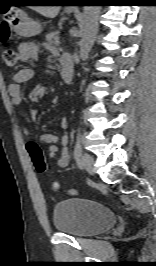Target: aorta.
I'll use <instances>...</instances> for the list:
<instances>
[{
  "instance_id": "aorta-1",
  "label": "aorta",
  "mask_w": 156,
  "mask_h": 266,
  "mask_svg": "<svg viewBox=\"0 0 156 266\" xmlns=\"http://www.w3.org/2000/svg\"><path fill=\"white\" fill-rule=\"evenodd\" d=\"M100 6H85L82 21V38L80 41V57H87L95 41L98 31Z\"/></svg>"
}]
</instances>
